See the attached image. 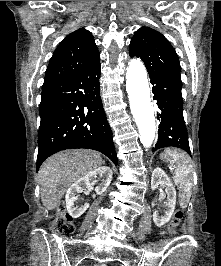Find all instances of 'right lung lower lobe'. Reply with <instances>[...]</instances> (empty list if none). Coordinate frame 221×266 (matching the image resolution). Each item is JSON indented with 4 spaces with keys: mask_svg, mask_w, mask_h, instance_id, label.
Returning a JSON list of instances; mask_svg holds the SVG:
<instances>
[{
    "mask_svg": "<svg viewBox=\"0 0 221 266\" xmlns=\"http://www.w3.org/2000/svg\"><path fill=\"white\" fill-rule=\"evenodd\" d=\"M100 62L42 89L37 170L52 154L71 148L102 152L118 159L100 97Z\"/></svg>",
    "mask_w": 221,
    "mask_h": 266,
    "instance_id": "1",
    "label": "right lung lower lobe"
}]
</instances>
